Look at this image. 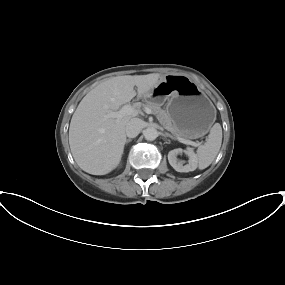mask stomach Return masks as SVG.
Instances as JSON below:
<instances>
[{
	"label": "stomach",
	"instance_id": "1",
	"mask_svg": "<svg viewBox=\"0 0 285 285\" xmlns=\"http://www.w3.org/2000/svg\"><path fill=\"white\" fill-rule=\"evenodd\" d=\"M144 97L147 102L155 104L167 100L166 112L185 138L204 136L216 119V109L211 100L195 82L184 75L161 77Z\"/></svg>",
	"mask_w": 285,
	"mask_h": 285
}]
</instances>
